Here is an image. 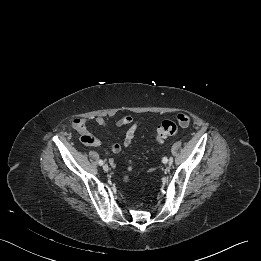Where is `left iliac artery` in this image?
<instances>
[{
    "label": "left iliac artery",
    "mask_w": 261,
    "mask_h": 261,
    "mask_svg": "<svg viewBox=\"0 0 261 261\" xmlns=\"http://www.w3.org/2000/svg\"><path fill=\"white\" fill-rule=\"evenodd\" d=\"M169 160H170L171 162H173V158H172V157H170ZM162 161H163V163H166V162L168 161L167 157H164Z\"/></svg>",
    "instance_id": "44dca946"
}]
</instances>
